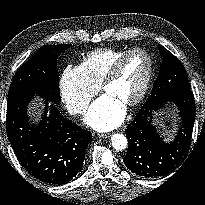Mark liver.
<instances>
[{
	"instance_id": "1",
	"label": "liver",
	"mask_w": 205,
	"mask_h": 205,
	"mask_svg": "<svg viewBox=\"0 0 205 205\" xmlns=\"http://www.w3.org/2000/svg\"><path fill=\"white\" fill-rule=\"evenodd\" d=\"M42 108H43V104H42L41 101L35 103L34 106L31 107L32 110L37 111L36 114H37L38 117L40 116V111H41Z\"/></svg>"
}]
</instances>
